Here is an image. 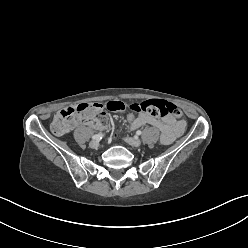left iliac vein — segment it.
Returning <instances> with one entry per match:
<instances>
[{
  "label": "left iliac vein",
  "instance_id": "4c4485c4",
  "mask_svg": "<svg viewBox=\"0 0 248 248\" xmlns=\"http://www.w3.org/2000/svg\"><path fill=\"white\" fill-rule=\"evenodd\" d=\"M124 140L134 147H139L141 145V141L138 138L125 137Z\"/></svg>",
  "mask_w": 248,
  "mask_h": 248
}]
</instances>
